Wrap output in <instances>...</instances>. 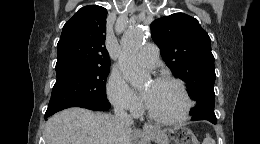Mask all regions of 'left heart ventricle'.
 Returning a JSON list of instances; mask_svg holds the SVG:
<instances>
[{
    "mask_svg": "<svg viewBox=\"0 0 260 144\" xmlns=\"http://www.w3.org/2000/svg\"><path fill=\"white\" fill-rule=\"evenodd\" d=\"M144 93L151 110L159 115L175 118L181 116L185 110V98L174 84L148 82Z\"/></svg>",
    "mask_w": 260,
    "mask_h": 144,
    "instance_id": "left-heart-ventricle-1",
    "label": "left heart ventricle"
}]
</instances>
